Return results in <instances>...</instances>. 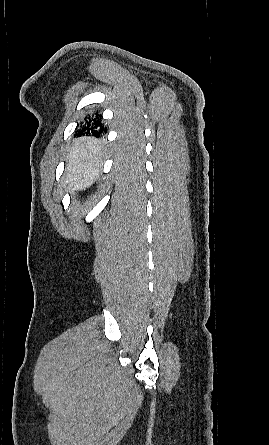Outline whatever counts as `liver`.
I'll use <instances>...</instances> for the list:
<instances>
[{"mask_svg":"<svg viewBox=\"0 0 269 445\" xmlns=\"http://www.w3.org/2000/svg\"><path fill=\"white\" fill-rule=\"evenodd\" d=\"M101 141L83 137L77 139L69 152L63 185L67 191H79L90 187L101 169Z\"/></svg>","mask_w":269,"mask_h":445,"instance_id":"6515ba94","label":"liver"}]
</instances>
